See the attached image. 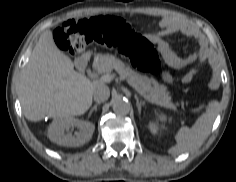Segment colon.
<instances>
[{
	"mask_svg": "<svg viewBox=\"0 0 236 182\" xmlns=\"http://www.w3.org/2000/svg\"><path fill=\"white\" fill-rule=\"evenodd\" d=\"M54 38L69 55L78 54L90 44H101L116 47L142 72L153 74L160 68L152 44L118 17L71 19L56 27Z\"/></svg>",
	"mask_w": 236,
	"mask_h": 182,
	"instance_id": "5ec220e1",
	"label": "colon"
}]
</instances>
